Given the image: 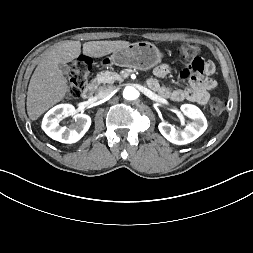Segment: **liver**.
I'll use <instances>...</instances> for the list:
<instances>
[{
  "instance_id": "6515ba94",
  "label": "liver",
  "mask_w": 253,
  "mask_h": 253,
  "mask_svg": "<svg viewBox=\"0 0 253 253\" xmlns=\"http://www.w3.org/2000/svg\"><path fill=\"white\" fill-rule=\"evenodd\" d=\"M130 45L128 41H90L83 44V54L98 58ZM81 53L80 41H64L48 51L36 67L27 93V113L37 120L68 92V83L58 65L68 63Z\"/></svg>"
}]
</instances>
